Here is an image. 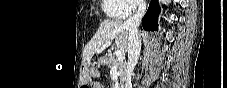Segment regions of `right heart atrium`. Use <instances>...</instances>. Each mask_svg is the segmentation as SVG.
I'll list each match as a JSON object with an SVG mask.
<instances>
[{
	"label": "right heart atrium",
	"mask_w": 227,
	"mask_h": 88,
	"mask_svg": "<svg viewBox=\"0 0 227 88\" xmlns=\"http://www.w3.org/2000/svg\"><path fill=\"white\" fill-rule=\"evenodd\" d=\"M128 4V10L126 12V16H130L134 14L142 4L141 0H126Z\"/></svg>",
	"instance_id": "d8ad5b80"
}]
</instances>
